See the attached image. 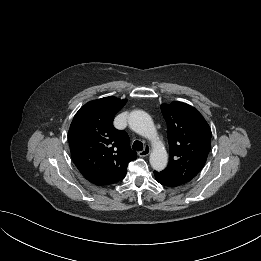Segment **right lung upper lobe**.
Here are the masks:
<instances>
[{
	"label": "right lung upper lobe",
	"instance_id": "right-lung-upper-lobe-1",
	"mask_svg": "<svg viewBox=\"0 0 261 261\" xmlns=\"http://www.w3.org/2000/svg\"><path fill=\"white\" fill-rule=\"evenodd\" d=\"M126 99L104 97L82 106L68 132L72 159L91 183L102 186L122 180L127 165L137 158L129 145V136L113 126L114 116Z\"/></svg>",
	"mask_w": 261,
	"mask_h": 261
}]
</instances>
